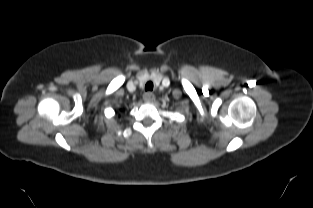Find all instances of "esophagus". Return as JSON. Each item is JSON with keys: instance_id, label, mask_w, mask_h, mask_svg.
I'll list each match as a JSON object with an SVG mask.
<instances>
[{"instance_id": "1", "label": "esophagus", "mask_w": 313, "mask_h": 208, "mask_svg": "<svg viewBox=\"0 0 313 208\" xmlns=\"http://www.w3.org/2000/svg\"><path fill=\"white\" fill-rule=\"evenodd\" d=\"M143 99H144V101H146V102H151V101H153V100L155 99V96H154V94L151 93V92H146V93L143 95Z\"/></svg>"}]
</instances>
